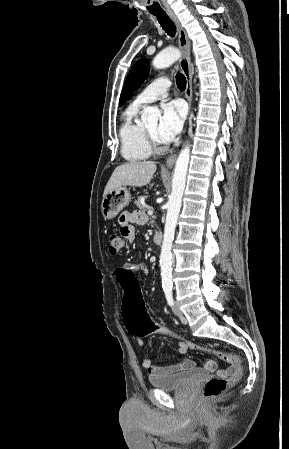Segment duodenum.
Masks as SVG:
<instances>
[{
	"mask_svg": "<svg viewBox=\"0 0 289 449\" xmlns=\"http://www.w3.org/2000/svg\"><path fill=\"white\" fill-rule=\"evenodd\" d=\"M153 240H154V243L156 245H161L162 244V242H163V234H162V232L159 229H157L155 231Z\"/></svg>",
	"mask_w": 289,
	"mask_h": 449,
	"instance_id": "410a0bca",
	"label": "duodenum"
}]
</instances>
